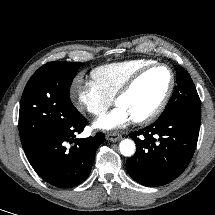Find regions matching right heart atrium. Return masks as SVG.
<instances>
[{
	"label": "right heart atrium",
	"instance_id": "d8ad5b80",
	"mask_svg": "<svg viewBox=\"0 0 215 215\" xmlns=\"http://www.w3.org/2000/svg\"><path fill=\"white\" fill-rule=\"evenodd\" d=\"M70 99L79 112L93 116L103 114L113 101V98L100 90L92 80H84L81 77L73 81Z\"/></svg>",
	"mask_w": 215,
	"mask_h": 215
}]
</instances>
